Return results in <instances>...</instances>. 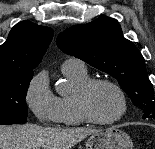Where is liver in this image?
Instances as JSON below:
<instances>
[{
	"label": "liver",
	"mask_w": 155,
	"mask_h": 149,
	"mask_svg": "<svg viewBox=\"0 0 155 149\" xmlns=\"http://www.w3.org/2000/svg\"><path fill=\"white\" fill-rule=\"evenodd\" d=\"M99 131L90 128H45L34 124L0 126V149H71Z\"/></svg>",
	"instance_id": "1"
}]
</instances>
